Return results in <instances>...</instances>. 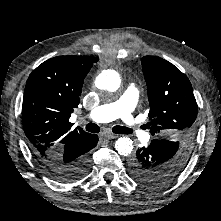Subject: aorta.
I'll list each match as a JSON object with an SVG mask.
<instances>
[{
  "mask_svg": "<svg viewBox=\"0 0 221 221\" xmlns=\"http://www.w3.org/2000/svg\"><path fill=\"white\" fill-rule=\"evenodd\" d=\"M96 86L108 93H114L120 86V76L114 70H104L98 75ZM115 149L120 155L128 156L133 151V141L128 137H120L115 142Z\"/></svg>",
  "mask_w": 221,
  "mask_h": 221,
  "instance_id": "1",
  "label": "aorta"
}]
</instances>
